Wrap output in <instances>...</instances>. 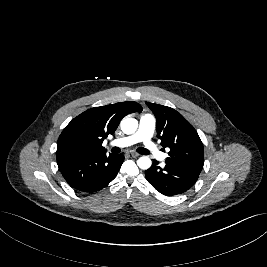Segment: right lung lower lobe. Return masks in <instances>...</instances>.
<instances>
[{"label":"right lung lower lobe","instance_id":"obj_1","mask_svg":"<svg viewBox=\"0 0 267 267\" xmlns=\"http://www.w3.org/2000/svg\"><path fill=\"white\" fill-rule=\"evenodd\" d=\"M124 156L93 153L57 159L60 172L74 189L96 192L107 186L117 175Z\"/></svg>","mask_w":267,"mask_h":267}]
</instances>
